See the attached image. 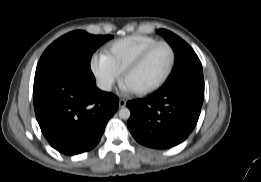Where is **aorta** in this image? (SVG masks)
Returning <instances> with one entry per match:
<instances>
[{
	"label": "aorta",
	"mask_w": 261,
	"mask_h": 182,
	"mask_svg": "<svg viewBox=\"0 0 261 182\" xmlns=\"http://www.w3.org/2000/svg\"><path fill=\"white\" fill-rule=\"evenodd\" d=\"M130 115H131V112L128 108H121L119 110V117L121 119H129Z\"/></svg>",
	"instance_id": "762f6f07"
}]
</instances>
